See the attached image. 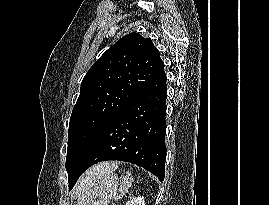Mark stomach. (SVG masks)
Masks as SVG:
<instances>
[{
  "instance_id": "obj_1",
  "label": "stomach",
  "mask_w": 269,
  "mask_h": 205,
  "mask_svg": "<svg viewBox=\"0 0 269 205\" xmlns=\"http://www.w3.org/2000/svg\"><path fill=\"white\" fill-rule=\"evenodd\" d=\"M119 179L110 172L97 180L82 196H78L76 205H108L112 199L123 195L118 189Z\"/></svg>"
}]
</instances>
